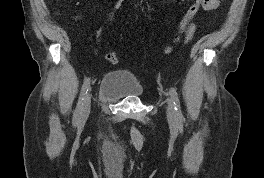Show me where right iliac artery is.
<instances>
[{
	"label": "right iliac artery",
	"mask_w": 264,
	"mask_h": 178,
	"mask_svg": "<svg viewBox=\"0 0 264 178\" xmlns=\"http://www.w3.org/2000/svg\"><path fill=\"white\" fill-rule=\"evenodd\" d=\"M90 88V79L87 78L83 85H82V89H81V93H80V97L76 106V109L74 111V115H73V124L77 125L80 119V114H81V110H82V106H83V101L85 99V96L88 92Z\"/></svg>",
	"instance_id": "obj_1"
}]
</instances>
